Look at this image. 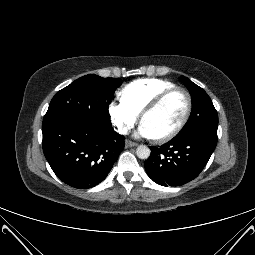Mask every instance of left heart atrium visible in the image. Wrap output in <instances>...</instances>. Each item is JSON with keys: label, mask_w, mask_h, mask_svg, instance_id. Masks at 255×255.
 <instances>
[{"label": "left heart atrium", "mask_w": 255, "mask_h": 255, "mask_svg": "<svg viewBox=\"0 0 255 255\" xmlns=\"http://www.w3.org/2000/svg\"><path fill=\"white\" fill-rule=\"evenodd\" d=\"M137 136L142 137V138H146V139H153V138H155V136L153 135L151 130L143 122L141 123V125H140V127L138 129Z\"/></svg>", "instance_id": "left-heart-atrium-1"}]
</instances>
